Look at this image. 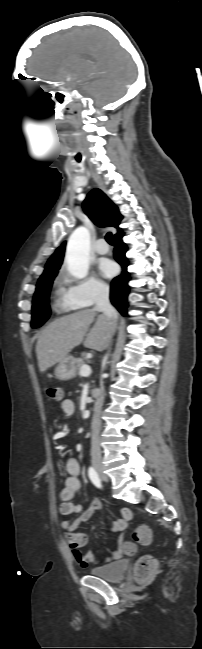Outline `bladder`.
Returning <instances> with one entry per match:
<instances>
[{
	"label": "bladder",
	"mask_w": 202,
	"mask_h": 649,
	"mask_svg": "<svg viewBox=\"0 0 202 649\" xmlns=\"http://www.w3.org/2000/svg\"><path fill=\"white\" fill-rule=\"evenodd\" d=\"M129 562L126 559L93 568L91 575L109 582L120 580L127 571Z\"/></svg>",
	"instance_id": "bladder-1"
}]
</instances>
